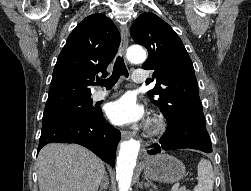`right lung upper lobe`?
Segmentation results:
<instances>
[{
    "mask_svg": "<svg viewBox=\"0 0 251 191\" xmlns=\"http://www.w3.org/2000/svg\"><path fill=\"white\" fill-rule=\"evenodd\" d=\"M120 44L119 31L103 14L86 17L69 35L54 67L45 109L90 99L88 86L106 68Z\"/></svg>",
    "mask_w": 251,
    "mask_h": 191,
    "instance_id": "cb5924a9",
    "label": "right lung upper lobe"
}]
</instances>
